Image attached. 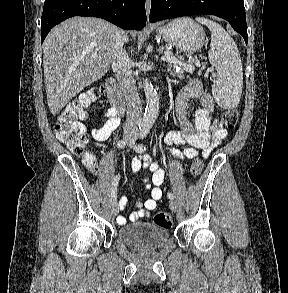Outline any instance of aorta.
<instances>
[{
    "label": "aorta",
    "mask_w": 288,
    "mask_h": 293,
    "mask_svg": "<svg viewBox=\"0 0 288 293\" xmlns=\"http://www.w3.org/2000/svg\"><path fill=\"white\" fill-rule=\"evenodd\" d=\"M143 88L146 97V108L140 120L139 128L148 131L155 123L159 112V95L148 79L143 81Z\"/></svg>",
    "instance_id": "762f6f07"
}]
</instances>
